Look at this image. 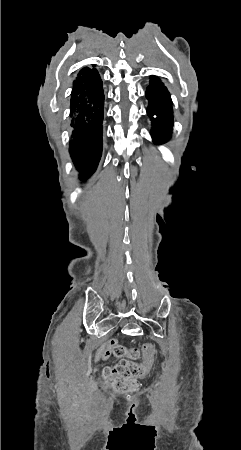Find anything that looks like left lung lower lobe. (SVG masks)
I'll return each mask as SVG.
<instances>
[{
  "mask_svg": "<svg viewBox=\"0 0 241 450\" xmlns=\"http://www.w3.org/2000/svg\"><path fill=\"white\" fill-rule=\"evenodd\" d=\"M149 100L147 114L152 121L151 135L156 144L165 143L173 126V110L170 94L164 84L155 76H151L146 90Z\"/></svg>",
  "mask_w": 241,
  "mask_h": 450,
  "instance_id": "1",
  "label": "left lung lower lobe"
}]
</instances>
